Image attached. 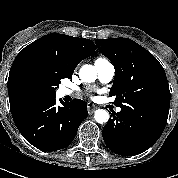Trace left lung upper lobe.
<instances>
[{"label":"left lung upper lobe","instance_id":"5c2ea615","mask_svg":"<svg viewBox=\"0 0 178 178\" xmlns=\"http://www.w3.org/2000/svg\"><path fill=\"white\" fill-rule=\"evenodd\" d=\"M115 67L110 96L121 108L166 121L170 107L167 77L159 61L128 38L95 40Z\"/></svg>","mask_w":178,"mask_h":178}]
</instances>
